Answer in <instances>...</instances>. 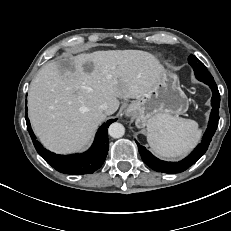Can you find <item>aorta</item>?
<instances>
[{
	"label": "aorta",
	"mask_w": 231,
	"mask_h": 231,
	"mask_svg": "<svg viewBox=\"0 0 231 231\" xmlns=\"http://www.w3.org/2000/svg\"><path fill=\"white\" fill-rule=\"evenodd\" d=\"M108 133L113 138H120L125 133V128L121 123H112L108 128Z\"/></svg>",
	"instance_id": "aorta-1"
}]
</instances>
